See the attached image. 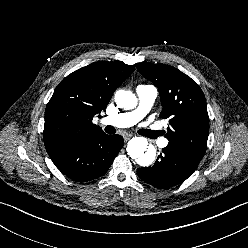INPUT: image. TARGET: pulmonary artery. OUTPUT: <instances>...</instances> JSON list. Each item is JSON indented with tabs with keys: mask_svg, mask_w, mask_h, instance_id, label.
Returning <instances> with one entry per match:
<instances>
[{
	"mask_svg": "<svg viewBox=\"0 0 248 248\" xmlns=\"http://www.w3.org/2000/svg\"><path fill=\"white\" fill-rule=\"evenodd\" d=\"M136 92L139 99V105L135 110L102 118L101 123L103 125L125 128L139 122L151 109L158 92L152 85H140L137 87ZM167 144L168 140L163 139L161 141L162 147H165Z\"/></svg>",
	"mask_w": 248,
	"mask_h": 248,
	"instance_id": "obj_1",
	"label": "pulmonary artery"
}]
</instances>
